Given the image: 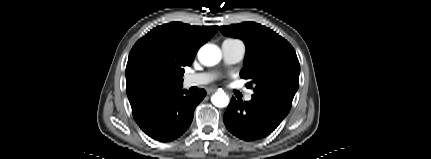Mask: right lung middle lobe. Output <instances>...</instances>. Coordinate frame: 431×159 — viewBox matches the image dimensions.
<instances>
[{
    "label": "right lung middle lobe",
    "instance_id": "dd1d6c3e",
    "mask_svg": "<svg viewBox=\"0 0 431 159\" xmlns=\"http://www.w3.org/2000/svg\"><path fill=\"white\" fill-rule=\"evenodd\" d=\"M183 72H184L183 70L179 72V77H181V78H182V76H183Z\"/></svg>",
    "mask_w": 431,
    "mask_h": 159
}]
</instances>
